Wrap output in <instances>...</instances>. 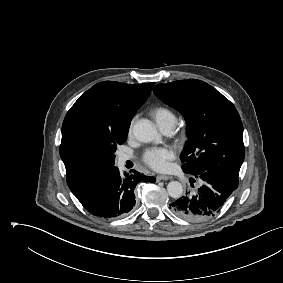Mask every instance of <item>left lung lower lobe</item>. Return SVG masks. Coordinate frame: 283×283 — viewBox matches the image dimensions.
<instances>
[{"label":"left lung lower lobe","instance_id":"1","mask_svg":"<svg viewBox=\"0 0 283 283\" xmlns=\"http://www.w3.org/2000/svg\"><path fill=\"white\" fill-rule=\"evenodd\" d=\"M192 177V187L193 182H198L196 190L170 204L172 212L187 221H204L214 216L238 186V177L223 172L205 171Z\"/></svg>","mask_w":283,"mask_h":283}]
</instances>
